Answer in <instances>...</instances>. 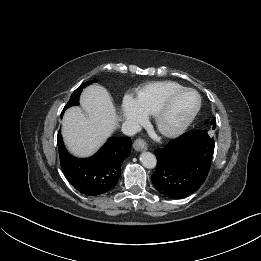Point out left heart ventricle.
<instances>
[{
  "mask_svg": "<svg viewBox=\"0 0 261 261\" xmlns=\"http://www.w3.org/2000/svg\"><path fill=\"white\" fill-rule=\"evenodd\" d=\"M198 98L193 92H186L178 96L171 104L163 118L164 128H173L182 123L196 108Z\"/></svg>",
  "mask_w": 261,
  "mask_h": 261,
  "instance_id": "1",
  "label": "left heart ventricle"
}]
</instances>
